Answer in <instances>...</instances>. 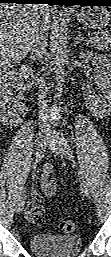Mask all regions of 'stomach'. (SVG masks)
Masks as SVG:
<instances>
[{
    "mask_svg": "<svg viewBox=\"0 0 111 257\" xmlns=\"http://www.w3.org/2000/svg\"><path fill=\"white\" fill-rule=\"evenodd\" d=\"M77 21L84 26L101 30L109 22V13L104 7H86L75 15Z\"/></svg>",
    "mask_w": 111,
    "mask_h": 257,
    "instance_id": "obj_1",
    "label": "stomach"
}]
</instances>
